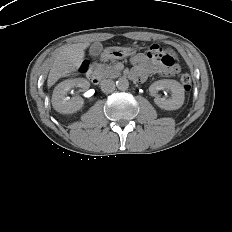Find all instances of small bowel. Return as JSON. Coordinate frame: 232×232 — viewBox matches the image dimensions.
<instances>
[{
    "label": "small bowel",
    "instance_id": "small-bowel-1",
    "mask_svg": "<svg viewBox=\"0 0 232 232\" xmlns=\"http://www.w3.org/2000/svg\"><path fill=\"white\" fill-rule=\"evenodd\" d=\"M134 69L130 73V81L136 84H146L151 81L154 77H166L167 69L163 66H156L154 63L145 55L138 54L132 59Z\"/></svg>",
    "mask_w": 232,
    "mask_h": 232
}]
</instances>
